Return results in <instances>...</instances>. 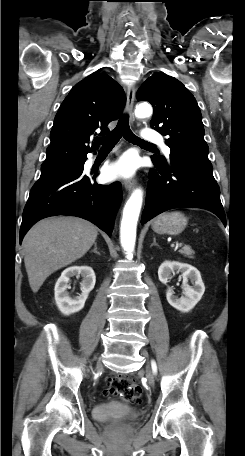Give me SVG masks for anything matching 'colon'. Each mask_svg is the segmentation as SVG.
Returning <instances> with one entry per match:
<instances>
[{
	"label": "colon",
	"instance_id": "5ec220e1",
	"mask_svg": "<svg viewBox=\"0 0 245 456\" xmlns=\"http://www.w3.org/2000/svg\"><path fill=\"white\" fill-rule=\"evenodd\" d=\"M103 393L105 396L118 397L128 403L137 404L141 400L142 388L130 377L114 376L109 379Z\"/></svg>",
	"mask_w": 245,
	"mask_h": 456
}]
</instances>
